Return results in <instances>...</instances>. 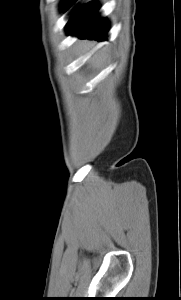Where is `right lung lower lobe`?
Instances as JSON below:
<instances>
[{
  "label": "right lung lower lobe",
  "mask_w": 181,
  "mask_h": 300,
  "mask_svg": "<svg viewBox=\"0 0 181 300\" xmlns=\"http://www.w3.org/2000/svg\"><path fill=\"white\" fill-rule=\"evenodd\" d=\"M97 12L98 5L93 2L78 8L68 21V34L78 35L79 38L105 40L108 24L105 19L97 16Z\"/></svg>",
  "instance_id": "98d812e1"
}]
</instances>
